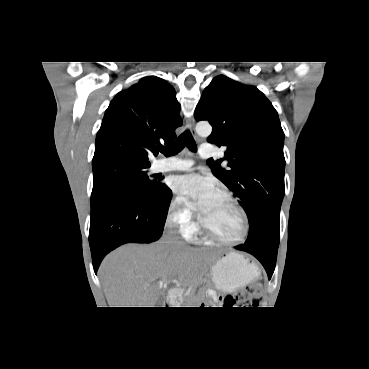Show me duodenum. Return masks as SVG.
<instances>
[{"label": "duodenum", "instance_id": "obj_1", "mask_svg": "<svg viewBox=\"0 0 369 369\" xmlns=\"http://www.w3.org/2000/svg\"><path fill=\"white\" fill-rule=\"evenodd\" d=\"M173 297H174L173 292H170V294H169V298H170V299H172Z\"/></svg>", "mask_w": 369, "mask_h": 369}]
</instances>
